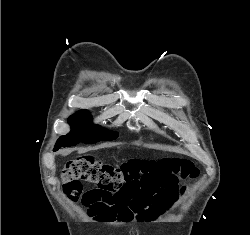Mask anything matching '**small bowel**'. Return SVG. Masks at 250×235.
Instances as JSON below:
<instances>
[{"label":"small bowel","mask_w":250,"mask_h":235,"mask_svg":"<svg viewBox=\"0 0 250 235\" xmlns=\"http://www.w3.org/2000/svg\"><path fill=\"white\" fill-rule=\"evenodd\" d=\"M178 199V190L174 186L158 188L152 192L140 190L133 198L135 212L143 219L155 220L168 212Z\"/></svg>","instance_id":"c3829d8e"}]
</instances>
